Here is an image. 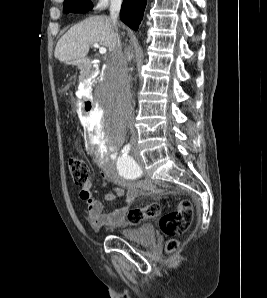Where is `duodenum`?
Segmentation results:
<instances>
[{
	"instance_id": "obj_1",
	"label": "duodenum",
	"mask_w": 267,
	"mask_h": 298,
	"mask_svg": "<svg viewBox=\"0 0 267 298\" xmlns=\"http://www.w3.org/2000/svg\"><path fill=\"white\" fill-rule=\"evenodd\" d=\"M75 65L83 71V76H92L93 79H98V74H93L92 71H86L93 66V61L89 58H83L76 61ZM96 93H89L84 95V100L80 101V104L83 105V115H93L92 105L93 100L91 98H96Z\"/></svg>"
}]
</instances>
